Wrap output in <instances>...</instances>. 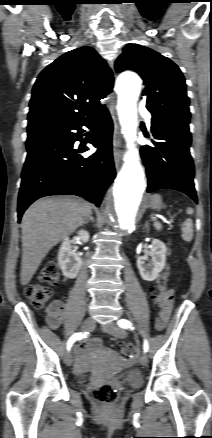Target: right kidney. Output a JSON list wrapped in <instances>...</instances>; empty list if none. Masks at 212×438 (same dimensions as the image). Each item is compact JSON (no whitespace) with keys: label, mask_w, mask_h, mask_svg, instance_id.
<instances>
[{"label":"right kidney","mask_w":212,"mask_h":438,"mask_svg":"<svg viewBox=\"0 0 212 438\" xmlns=\"http://www.w3.org/2000/svg\"><path fill=\"white\" fill-rule=\"evenodd\" d=\"M77 239L80 242L86 243L89 240V233L86 230L78 231ZM58 265L63 272V275L69 279L77 277L81 266V257L72 250L71 241L68 237L64 238L58 252Z\"/></svg>","instance_id":"ca27d5eb"}]
</instances>
